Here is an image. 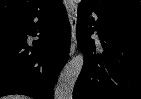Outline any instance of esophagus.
I'll use <instances>...</instances> for the list:
<instances>
[{
    "label": "esophagus",
    "mask_w": 141,
    "mask_h": 99,
    "mask_svg": "<svg viewBox=\"0 0 141 99\" xmlns=\"http://www.w3.org/2000/svg\"><path fill=\"white\" fill-rule=\"evenodd\" d=\"M66 10L71 27L70 55L76 50L77 5L73 0L66 1Z\"/></svg>",
    "instance_id": "esophagus-1"
}]
</instances>
